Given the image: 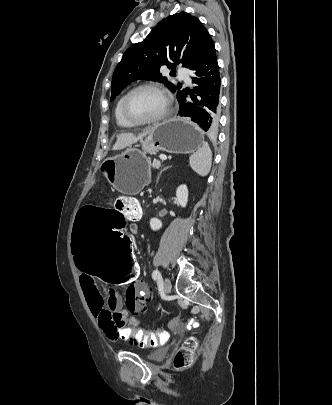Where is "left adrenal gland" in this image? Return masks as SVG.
<instances>
[{"label": "left adrenal gland", "mask_w": 332, "mask_h": 405, "mask_svg": "<svg viewBox=\"0 0 332 405\" xmlns=\"http://www.w3.org/2000/svg\"><path fill=\"white\" fill-rule=\"evenodd\" d=\"M164 170H165V169H164ZM162 171H163V170H162ZM162 171H161V172H162ZM161 172H160V174H161ZM160 174H159V175H160ZM158 179H159V176H158ZM158 179H157V182H158Z\"/></svg>", "instance_id": "obj_1"}]
</instances>
